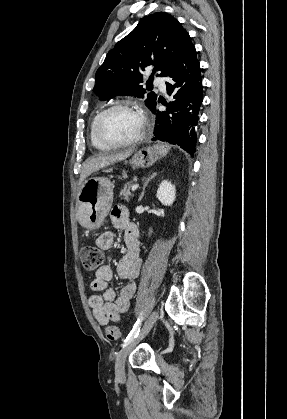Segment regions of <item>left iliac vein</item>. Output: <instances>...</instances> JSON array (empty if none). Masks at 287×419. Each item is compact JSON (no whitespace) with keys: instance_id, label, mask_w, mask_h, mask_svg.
<instances>
[{"instance_id":"left-iliac-vein-1","label":"left iliac vein","mask_w":287,"mask_h":419,"mask_svg":"<svg viewBox=\"0 0 287 419\" xmlns=\"http://www.w3.org/2000/svg\"><path fill=\"white\" fill-rule=\"evenodd\" d=\"M157 319H158V314L154 311L144 323L143 328L141 329L138 336L134 338L129 344L124 346L122 350L119 352L116 358V363H115V372H116V376L119 379H122L125 376V360L129 352L132 350V348L136 344H138L150 332L151 328L153 327Z\"/></svg>"}]
</instances>
